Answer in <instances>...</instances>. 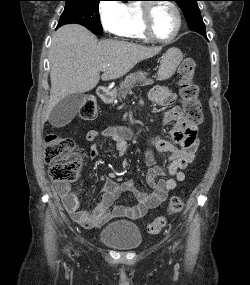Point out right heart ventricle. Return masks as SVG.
I'll list each match as a JSON object with an SVG mask.
<instances>
[{"instance_id": "e07e8e85", "label": "right heart ventricle", "mask_w": 250, "mask_h": 285, "mask_svg": "<svg viewBox=\"0 0 250 285\" xmlns=\"http://www.w3.org/2000/svg\"><path fill=\"white\" fill-rule=\"evenodd\" d=\"M140 6L137 3L126 5V20L120 36L140 41L148 40L142 29Z\"/></svg>"}]
</instances>
